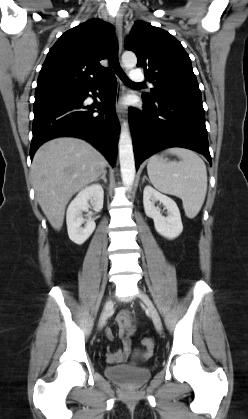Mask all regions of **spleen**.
<instances>
[{
  "mask_svg": "<svg viewBox=\"0 0 248 419\" xmlns=\"http://www.w3.org/2000/svg\"><path fill=\"white\" fill-rule=\"evenodd\" d=\"M167 154L180 160L166 162L152 156L147 164L150 182L159 191L182 199L185 214L192 219L199 213L207 192V169L204 161L192 150L169 148Z\"/></svg>",
  "mask_w": 248,
  "mask_h": 419,
  "instance_id": "spleen-1",
  "label": "spleen"
}]
</instances>
